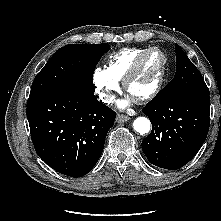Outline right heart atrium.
<instances>
[{"label":"right heart atrium","mask_w":221,"mask_h":221,"mask_svg":"<svg viewBox=\"0 0 221 221\" xmlns=\"http://www.w3.org/2000/svg\"><path fill=\"white\" fill-rule=\"evenodd\" d=\"M92 82L99 99L106 104L113 101L114 93L120 88L119 80L108 68L97 67L93 72Z\"/></svg>","instance_id":"obj_1"}]
</instances>
